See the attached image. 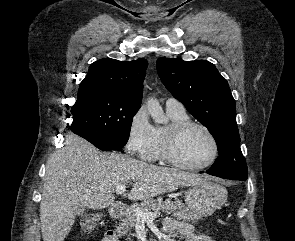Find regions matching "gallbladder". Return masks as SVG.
I'll list each match as a JSON object with an SVG mask.
<instances>
[{
    "label": "gallbladder",
    "instance_id": "gallbladder-1",
    "mask_svg": "<svg viewBox=\"0 0 295 241\" xmlns=\"http://www.w3.org/2000/svg\"><path fill=\"white\" fill-rule=\"evenodd\" d=\"M83 213H84V208H79L77 210V215H83Z\"/></svg>",
    "mask_w": 295,
    "mask_h": 241
}]
</instances>
